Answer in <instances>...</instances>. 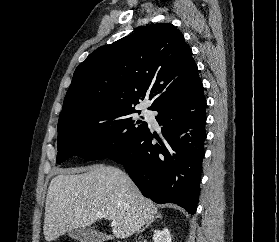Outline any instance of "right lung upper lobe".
<instances>
[{"instance_id": "1", "label": "right lung upper lobe", "mask_w": 279, "mask_h": 242, "mask_svg": "<svg viewBox=\"0 0 279 242\" xmlns=\"http://www.w3.org/2000/svg\"><path fill=\"white\" fill-rule=\"evenodd\" d=\"M201 86L182 33L170 23L153 24L99 47L76 68L58 124L134 110L146 95L156 110Z\"/></svg>"}]
</instances>
